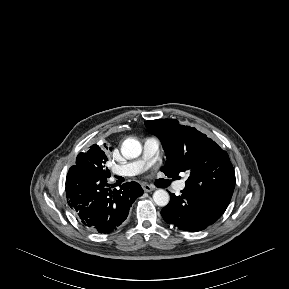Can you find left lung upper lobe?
<instances>
[{
  "label": "left lung upper lobe",
  "mask_w": 289,
  "mask_h": 289,
  "mask_svg": "<svg viewBox=\"0 0 289 289\" xmlns=\"http://www.w3.org/2000/svg\"><path fill=\"white\" fill-rule=\"evenodd\" d=\"M162 142L167 161L161 171L168 177L187 172L188 189L229 204L235 186V172L228 154L212 139L175 119L145 122Z\"/></svg>",
  "instance_id": "5c2ea615"
}]
</instances>
